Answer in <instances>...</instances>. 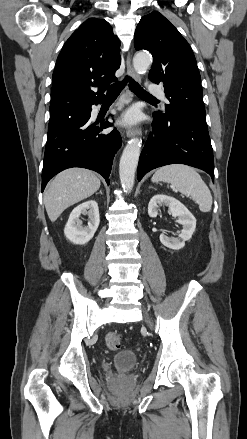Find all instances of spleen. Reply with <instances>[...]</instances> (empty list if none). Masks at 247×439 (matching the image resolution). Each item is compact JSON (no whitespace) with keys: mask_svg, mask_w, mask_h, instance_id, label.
Masks as SVG:
<instances>
[{"mask_svg":"<svg viewBox=\"0 0 247 439\" xmlns=\"http://www.w3.org/2000/svg\"><path fill=\"white\" fill-rule=\"evenodd\" d=\"M164 181L174 185L182 194L190 195L203 213L210 212L212 196L201 176L190 166L172 164L159 168L152 182Z\"/></svg>","mask_w":247,"mask_h":439,"instance_id":"obj_1","label":"spleen"}]
</instances>
